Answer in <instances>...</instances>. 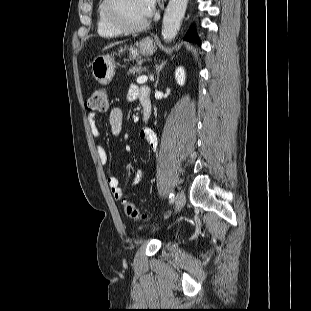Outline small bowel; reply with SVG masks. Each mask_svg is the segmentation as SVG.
Returning a JSON list of instances; mask_svg holds the SVG:
<instances>
[{"label":"small bowel","instance_id":"obj_1","mask_svg":"<svg viewBox=\"0 0 311 311\" xmlns=\"http://www.w3.org/2000/svg\"><path fill=\"white\" fill-rule=\"evenodd\" d=\"M138 99L142 105L143 101L150 102V90L146 86H132L128 93V100L134 101ZM151 104V103H150ZM143 106V105H142ZM87 124L90 129L91 135L98 139L100 137V130L96 123V113L90 112L87 117ZM109 126L111 133L114 136H118L122 131L123 126V112L119 107H114L109 113ZM139 137L141 140L147 142L150 147L154 150L158 148V139L155 132L150 127H144L139 132ZM97 153L99 161L102 165L107 164L108 156L105 149L101 146H97ZM144 171L138 170L130 181V185L134 186L139 184L144 178ZM107 185L116 200H121L123 198V193L120 188L119 179L115 176H109L107 178Z\"/></svg>","mask_w":311,"mask_h":311}]
</instances>
